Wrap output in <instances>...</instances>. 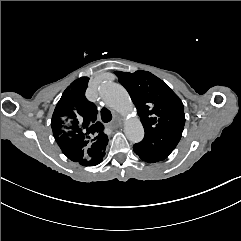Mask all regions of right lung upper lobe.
<instances>
[{
    "label": "right lung upper lobe",
    "mask_w": 241,
    "mask_h": 241,
    "mask_svg": "<svg viewBox=\"0 0 241 241\" xmlns=\"http://www.w3.org/2000/svg\"><path fill=\"white\" fill-rule=\"evenodd\" d=\"M89 78L70 84L57 103L51 127L64 155L82 166L102 161L108 144L104 125L96 120L97 108L85 97Z\"/></svg>",
    "instance_id": "right-lung-upper-lobe-1"
}]
</instances>
